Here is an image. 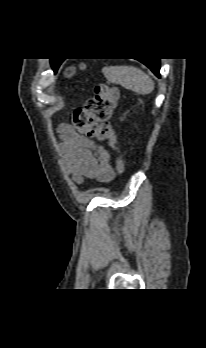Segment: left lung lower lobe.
I'll return each instance as SVG.
<instances>
[{
	"label": "left lung lower lobe",
	"mask_w": 206,
	"mask_h": 348,
	"mask_svg": "<svg viewBox=\"0 0 206 348\" xmlns=\"http://www.w3.org/2000/svg\"><path fill=\"white\" fill-rule=\"evenodd\" d=\"M139 61L149 67L157 77H160V59H144Z\"/></svg>",
	"instance_id": "left-lung-lower-lobe-1"
}]
</instances>
